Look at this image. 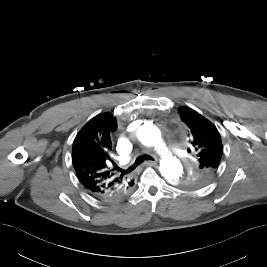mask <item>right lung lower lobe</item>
I'll use <instances>...</instances> for the list:
<instances>
[{
  "label": "right lung lower lobe",
  "mask_w": 267,
  "mask_h": 267,
  "mask_svg": "<svg viewBox=\"0 0 267 267\" xmlns=\"http://www.w3.org/2000/svg\"><path fill=\"white\" fill-rule=\"evenodd\" d=\"M134 185L133 180L131 182H129L127 185L123 186V190H121L119 193H117L116 195H112V196H108V197H103V196H95L101 200H105V201H117L120 200L124 197H126L127 195L130 194V192L132 191V186Z\"/></svg>",
  "instance_id": "1"
}]
</instances>
